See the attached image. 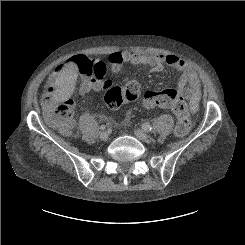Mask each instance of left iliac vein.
Here are the masks:
<instances>
[{
	"instance_id": "left-iliac-vein-1",
	"label": "left iliac vein",
	"mask_w": 245,
	"mask_h": 245,
	"mask_svg": "<svg viewBox=\"0 0 245 245\" xmlns=\"http://www.w3.org/2000/svg\"><path fill=\"white\" fill-rule=\"evenodd\" d=\"M134 134L141 141L147 142L149 140V137L147 136V134L140 129H136L134 131Z\"/></svg>"
}]
</instances>
